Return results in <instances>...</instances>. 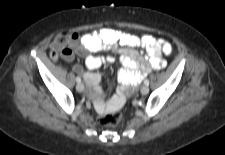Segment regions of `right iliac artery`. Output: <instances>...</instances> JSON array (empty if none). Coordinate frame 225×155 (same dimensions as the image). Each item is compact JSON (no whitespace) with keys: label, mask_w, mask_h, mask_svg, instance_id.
Here are the masks:
<instances>
[{"label":"right iliac artery","mask_w":225,"mask_h":155,"mask_svg":"<svg viewBox=\"0 0 225 155\" xmlns=\"http://www.w3.org/2000/svg\"><path fill=\"white\" fill-rule=\"evenodd\" d=\"M76 82L80 83L81 82V78L80 77H76Z\"/></svg>","instance_id":"82829eb1"}]
</instances>
